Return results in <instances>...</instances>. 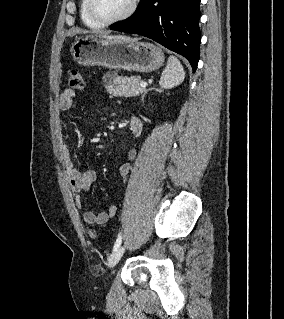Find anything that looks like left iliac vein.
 Listing matches in <instances>:
<instances>
[{"label": "left iliac vein", "mask_w": 284, "mask_h": 319, "mask_svg": "<svg viewBox=\"0 0 284 319\" xmlns=\"http://www.w3.org/2000/svg\"><path fill=\"white\" fill-rule=\"evenodd\" d=\"M125 251V247L121 246L117 250H115L109 257L108 266L113 268L121 259Z\"/></svg>", "instance_id": "1"}]
</instances>
